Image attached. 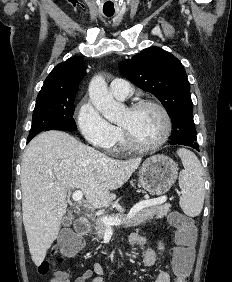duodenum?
Returning <instances> with one entry per match:
<instances>
[{
    "mask_svg": "<svg viewBox=\"0 0 232 282\" xmlns=\"http://www.w3.org/2000/svg\"><path fill=\"white\" fill-rule=\"evenodd\" d=\"M74 228L79 235H85L89 231V223L85 218H78L74 223Z\"/></svg>",
    "mask_w": 232,
    "mask_h": 282,
    "instance_id": "1",
    "label": "duodenum"
}]
</instances>
